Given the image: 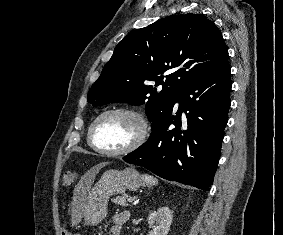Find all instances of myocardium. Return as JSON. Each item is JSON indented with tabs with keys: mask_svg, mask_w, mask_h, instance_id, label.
Returning <instances> with one entry per match:
<instances>
[{
	"mask_svg": "<svg viewBox=\"0 0 283 235\" xmlns=\"http://www.w3.org/2000/svg\"><path fill=\"white\" fill-rule=\"evenodd\" d=\"M116 113L127 114L133 117L137 121L139 126L138 133L129 145L121 149L113 150V151L102 149L98 147L93 140L95 127L101 119H103L108 115L116 114ZM147 136H148V124L144 116L137 110L129 107H113L104 110L92 121L88 129L89 145L98 153L106 156H122V155L130 154L136 151L137 149H139L145 143Z\"/></svg>",
	"mask_w": 283,
	"mask_h": 235,
	"instance_id": "1",
	"label": "myocardium"
}]
</instances>
